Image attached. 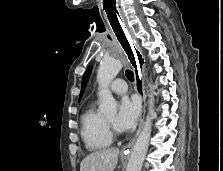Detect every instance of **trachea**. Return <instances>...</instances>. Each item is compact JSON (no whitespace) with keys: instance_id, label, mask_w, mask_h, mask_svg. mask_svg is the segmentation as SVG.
<instances>
[{"instance_id":"obj_1","label":"trachea","mask_w":223,"mask_h":171,"mask_svg":"<svg viewBox=\"0 0 223 171\" xmlns=\"http://www.w3.org/2000/svg\"><path fill=\"white\" fill-rule=\"evenodd\" d=\"M126 77L128 78L129 81L131 82L134 81V74L131 70H126Z\"/></svg>"}]
</instances>
